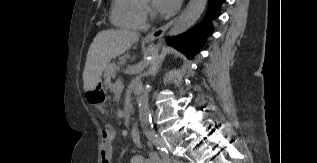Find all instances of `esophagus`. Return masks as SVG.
<instances>
[{
    "mask_svg": "<svg viewBox=\"0 0 317 163\" xmlns=\"http://www.w3.org/2000/svg\"><path fill=\"white\" fill-rule=\"evenodd\" d=\"M177 18H174L173 20L169 21L168 23H166L165 25L151 31L150 33H148L145 36V41H154L156 39H159L172 25L173 23L176 21Z\"/></svg>",
    "mask_w": 317,
    "mask_h": 163,
    "instance_id": "esophagus-1",
    "label": "esophagus"
}]
</instances>
